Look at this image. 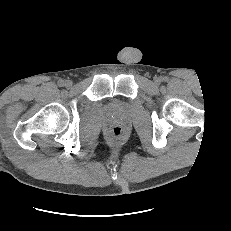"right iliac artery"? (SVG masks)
I'll return each instance as SVG.
<instances>
[{
    "instance_id": "1",
    "label": "right iliac artery",
    "mask_w": 231,
    "mask_h": 231,
    "mask_svg": "<svg viewBox=\"0 0 231 231\" xmlns=\"http://www.w3.org/2000/svg\"><path fill=\"white\" fill-rule=\"evenodd\" d=\"M58 85H59L60 87H62V86L65 85V82H64L63 80H60V81L58 82Z\"/></svg>"
}]
</instances>
